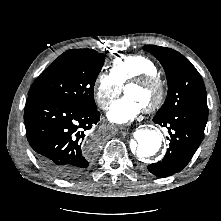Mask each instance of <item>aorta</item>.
Instances as JSON below:
<instances>
[{
    "mask_svg": "<svg viewBox=\"0 0 221 221\" xmlns=\"http://www.w3.org/2000/svg\"><path fill=\"white\" fill-rule=\"evenodd\" d=\"M134 138L136 140V146L132 151H134L140 159L154 155L159 151L162 144V135L156 130H138Z\"/></svg>",
    "mask_w": 221,
    "mask_h": 221,
    "instance_id": "aorta-1",
    "label": "aorta"
}]
</instances>
